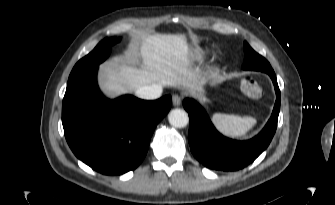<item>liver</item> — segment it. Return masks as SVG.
<instances>
[{"instance_id":"6515ba94","label":"liver","mask_w":335,"mask_h":205,"mask_svg":"<svg viewBox=\"0 0 335 205\" xmlns=\"http://www.w3.org/2000/svg\"><path fill=\"white\" fill-rule=\"evenodd\" d=\"M189 55L185 35H143L132 46L127 61L116 60L102 66L101 88L110 97L153 84L201 92L203 82L191 69Z\"/></svg>"}]
</instances>
